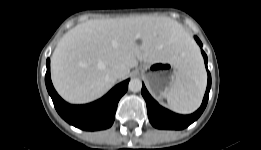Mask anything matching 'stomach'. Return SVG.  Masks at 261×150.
I'll use <instances>...</instances> for the list:
<instances>
[{"label":"stomach","instance_id":"0dacf381","mask_svg":"<svg viewBox=\"0 0 261 150\" xmlns=\"http://www.w3.org/2000/svg\"><path fill=\"white\" fill-rule=\"evenodd\" d=\"M140 71L152 94L161 99L175 84L180 70L173 63L157 62L142 64Z\"/></svg>","mask_w":261,"mask_h":150}]
</instances>
